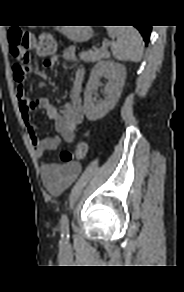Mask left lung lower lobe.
Listing matches in <instances>:
<instances>
[{"label":"left lung lower lobe","mask_w":184,"mask_h":292,"mask_svg":"<svg viewBox=\"0 0 184 292\" xmlns=\"http://www.w3.org/2000/svg\"><path fill=\"white\" fill-rule=\"evenodd\" d=\"M135 27L139 30V32L143 36L145 44L147 45L149 41L150 32H151V26L136 25Z\"/></svg>","instance_id":"obj_1"}]
</instances>
